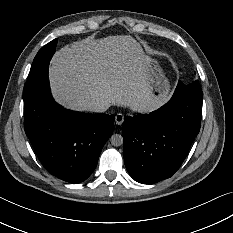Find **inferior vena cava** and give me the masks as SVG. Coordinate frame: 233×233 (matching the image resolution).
Listing matches in <instances>:
<instances>
[{"label":"inferior vena cava","instance_id":"602c4592","mask_svg":"<svg viewBox=\"0 0 233 233\" xmlns=\"http://www.w3.org/2000/svg\"><path fill=\"white\" fill-rule=\"evenodd\" d=\"M110 104L106 101H96L93 103L89 110L92 112H105L109 108Z\"/></svg>","mask_w":233,"mask_h":233}]
</instances>
